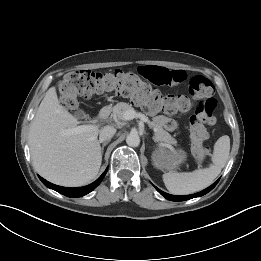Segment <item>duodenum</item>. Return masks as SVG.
Listing matches in <instances>:
<instances>
[{
	"label": "duodenum",
	"mask_w": 261,
	"mask_h": 261,
	"mask_svg": "<svg viewBox=\"0 0 261 261\" xmlns=\"http://www.w3.org/2000/svg\"><path fill=\"white\" fill-rule=\"evenodd\" d=\"M110 114V109L108 107H103L100 111H99V118L100 119H106Z\"/></svg>",
	"instance_id": "duodenum-1"
}]
</instances>
